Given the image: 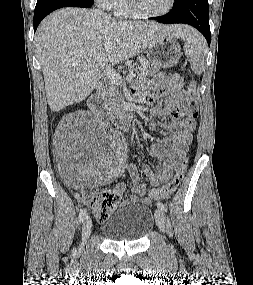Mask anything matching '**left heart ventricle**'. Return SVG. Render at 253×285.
Returning a JSON list of instances; mask_svg holds the SVG:
<instances>
[{
	"label": "left heart ventricle",
	"instance_id": "obj_1",
	"mask_svg": "<svg viewBox=\"0 0 253 285\" xmlns=\"http://www.w3.org/2000/svg\"><path fill=\"white\" fill-rule=\"evenodd\" d=\"M140 10L146 13H158L165 10L170 0H136Z\"/></svg>",
	"mask_w": 253,
	"mask_h": 285
}]
</instances>
